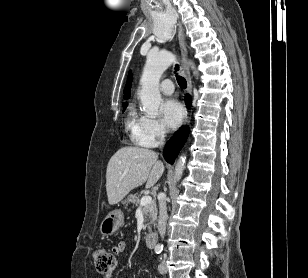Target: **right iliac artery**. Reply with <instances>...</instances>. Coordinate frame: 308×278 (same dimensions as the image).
Returning a JSON list of instances; mask_svg holds the SVG:
<instances>
[{
    "instance_id": "right-iliac-artery-1",
    "label": "right iliac artery",
    "mask_w": 308,
    "mask_h": 278,
    "mask_svg": "<svg viewBox=\"0 0 308 278\" xmlns=\"http://www.w3.org/2000/svg\"><path fill=\"white\" fill-rule=\"evenodd\" d=\"M162 250H163V248L160 247V246H157V247L155 248V252H156L157 254H160V253L162 252Z\"/></svg>"
}]
</instances>
